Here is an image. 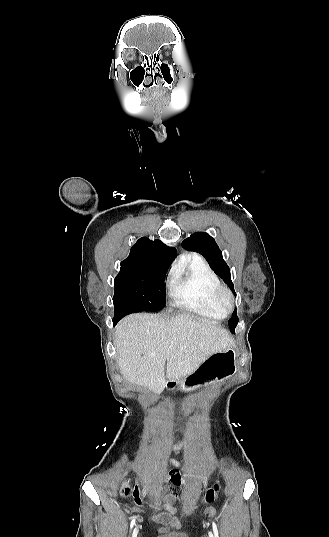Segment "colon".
Listing matches in <instances>:
<instances>
[{
  "label": "colon",
  "mask_w": 329,
  "mask_h": 537,
  "mask_svg": "<svg viewBox=\"0 0 329 537\" xmlns=\"http://www.w3.org/2000/svg\"><path fill=\"white\" fill-rule=\"evenodd\" d=\"M132 488L128 482H125L122 486L121 492L124 495H128ZM219 483H216L213 487H210L202 496L201 501L203 503L212 502L218 495ZM135 495H140L138 489L135 490Z\"/></svg>",
  "instance_id": "5ec220e1"
}]
</instances>
